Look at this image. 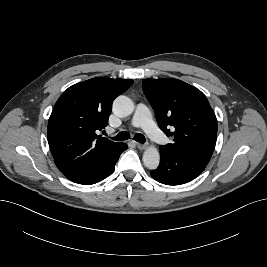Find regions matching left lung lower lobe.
<instances>
[{
	"mask_svg": "<svg viewBox=\"0 0 267 267\" xmlns=\"http://www.w3.org/2000/svg\"><path fill=\"white\" fill-rule=\"evenodd\" d=\"M160 165L151 176L166 185H180L195 179L206 167L208 160L160 148Z\"/></svg>",
	"mask_w": 267,
	"mask_h": 267,
	"instance_id": "0a47b994",
	"label": "left lung lower lobe"
}]
</instances>
